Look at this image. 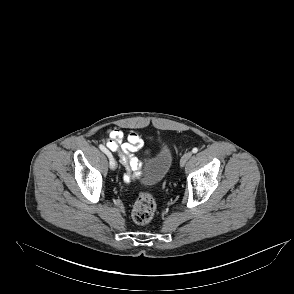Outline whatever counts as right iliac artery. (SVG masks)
Instances as JSON below:
<instances>
[{
  "label": "right iliac artery",
  "instance_id": "obj_1",
  "mask_svg": "<svg viewBox=\"0 0 294 294\" xmlns=\"http://www.w3.org/2000/svg\"><path fill=\"white\" fill-rule=\"evenodd\" d=\"M99 148L101 151H103L108 156L109 161H110V166H114L116 162H115L111 152L102 144L99 145Z\"/></svg>",
  "mask_w": 294,
  "mask_h": 294
}]
</instances>
